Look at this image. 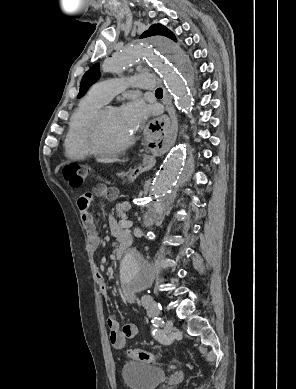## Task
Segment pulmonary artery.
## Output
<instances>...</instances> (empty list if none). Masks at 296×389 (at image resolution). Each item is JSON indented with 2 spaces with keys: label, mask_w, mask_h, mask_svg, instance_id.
Wrapping results in <instances>:
<instances>
[{
  "label": "pulmonary artery",
  "mask_w": 296,
  "mask_h": 389,
  "mask_svg": "<svg viewBox=\"0 0 296 389\" xmlns=\"http://www.w3.org/2000/svg\"><path fill=\"white\" fill-rule=\"evenodd\" d=\"M154 84L155 81L152 75H135L127 78L109 79L97 82L92 86L91 92L105 101H110L115 95L128 87L152 89Z\"/></svg>",
  "instance_id": "e3ab8cb5"
}]
</instances>
